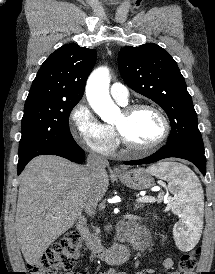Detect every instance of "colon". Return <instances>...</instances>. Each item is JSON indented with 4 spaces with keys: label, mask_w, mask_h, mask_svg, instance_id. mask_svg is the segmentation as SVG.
<instances>
[{
    "label": "colon",
    "mask_w": 215,
    "mask_h": 274,
    "mask_svg": "<svg viewBox=\"0 0 215 274\" xmlns=\"http://www.w3.org/2000/svg\"><path fill=\"white\" fill-rule=\"evenodd\" d=\"M82 246L81 235L71 231L53 244L42 257L29 266L31 274H61L72 269ZM199 249L184 253L179 260V274H193Z\"/></svg>",
    "instance_id": "1"
}]
</instances>
